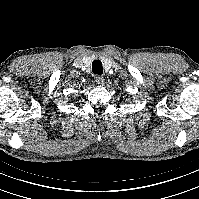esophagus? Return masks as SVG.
<instances>
[{
    "label": "esophagus",
    "instance_id": "obj_1",
    "mask_svg": "<svg viewBox=\"0 0 199 199\" xmlns=\"http://www.w3.org/2000/svg\"><path fill=\"white\" fill-rule=\"evenodd\" d=\"M95 81L97 82V84H99V85H104V82H105V78L103 77V76H97L96 78H95Z\"/></svg>",
    "mask_w": 199,
    "mask_h": 199
}]
</instances>
